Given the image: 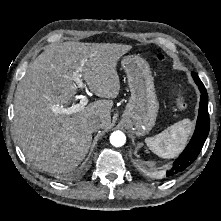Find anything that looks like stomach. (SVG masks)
Returning <instances> with one entry per match:
<instances>
[{"instance_id":"0dacf381","label":"stomach","mask_w":221,"mask_h":221,"mask_svg":"<svg viewBox=\"0 0 221 221\" xmlns=\"http://www.w3.org/2000/svg\"><path fill=\"white\" fill-rule=\"evenodd\" d=\"M131 92L124 118L131 121L137 136L147 134L155 125L159 102L148 62L139 55H128L121 61Z\"/></svg>"}]
</instances>
